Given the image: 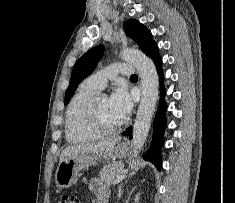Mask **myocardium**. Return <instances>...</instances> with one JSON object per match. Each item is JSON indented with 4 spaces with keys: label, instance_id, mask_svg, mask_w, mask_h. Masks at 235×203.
Here are the masks:
<instances>
[{
    "label": "myocardium",
    "instance_id": "myocardium-1",
    "mask_svg": "<svg viewBox=\"0 0 235 203\" xmlns=\"http://www.w3.org/2000/svg\"><path fill=\"white\" fill-rule=\"evenodd\" d=\"M98 100L99 98H95L90 106V122L93 127V129L100 135V136H110L117 134L120 132L125 124V122H122L116 127L110 128L104 125V123L101 120L100 113H99V107H98Z\"/></svg>",
    "mask_w": 235,
    "mask_h": 203
}]
</instances>
